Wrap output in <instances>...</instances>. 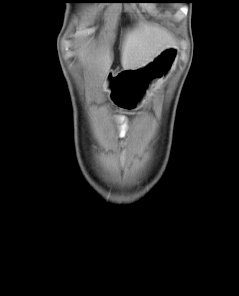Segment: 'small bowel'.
Wrapping results in <instances>:
<instances>
[{
    "mask_svg": "<svg viewBox=\"0 0 239 296\" xmlns=\"http://www.w3.org/2000/svg\"><path fill=\"white\" fill-rule=\"evenodd\" d=\"M118 120H119V121H123V117H122V116H119V117H118Z\"/></svg>",
    "mask_w": 239,
    "mask_h": 296,
    "instance_id": "1",
    "label": "small bowel"
}]
</instances>
